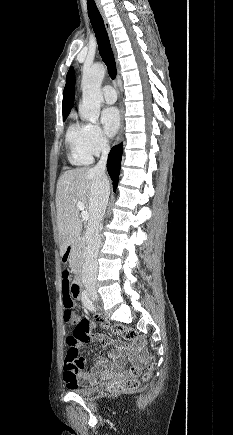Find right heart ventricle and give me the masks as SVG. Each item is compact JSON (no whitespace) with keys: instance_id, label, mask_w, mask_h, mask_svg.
Segmentation results:
<instances>
[{"instance_id":"right-heart-ventricle-1","label":"right heart ventricle","mask_w":233,"mask_h":435,"mask_svg":"<svg viewBox=\"0 0 233 435\" xmlns=\"http://www.w3.org/2000/svg\"><path fill=\"white\" fill-rule=\"evenodd\" d=\"M66 142L72 164L86 166L92 163V154L87 148V124L77 119L72 120L67 129Z\"/></svg>"}]
</instances>
